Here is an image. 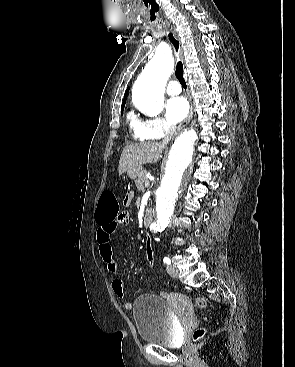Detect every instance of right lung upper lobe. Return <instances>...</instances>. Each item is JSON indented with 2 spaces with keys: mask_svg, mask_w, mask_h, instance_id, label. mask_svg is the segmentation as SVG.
<instances>
[{
  "mask_svg": "<svg viewBox=\"0 0 295 367\" xmlns=\"http://www.w3.org/2000/svg\"><path fill=\"white\" fill-rule=\"evenodd\" d=\"M128 91H129V88H127V90H126V92H125V96H124V99H123V103H122V105H124V104L126 103V99H127Z\"/></svg>",
  "mask_w": 295,
  "mask_h": 367,
  "instance_id": "cb5924a9",
  "label": "right lung upper lobe"
}]
</instances>
